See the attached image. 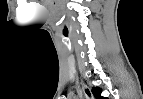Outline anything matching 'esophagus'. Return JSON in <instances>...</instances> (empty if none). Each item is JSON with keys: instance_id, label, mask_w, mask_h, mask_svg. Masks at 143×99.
I'll return each mask as SVG.
<instances>
[{"instance_id": "1", "label": "esophagus", "mask_w": 143, "mask_h": 99, "mask_svg": "<svg viewBox=\"0 0 143 99\" xmlns=\"http://www.w3.org/2000/svg\"><path fill=\"white\" fill-rule=\"evenodd\" d=\"M81 86H82V91L84 93L85 98L86 99H92L93 95H92L91 90L89 89V87L83 82L81 83Z\"/></svg>"}]
</instances>
